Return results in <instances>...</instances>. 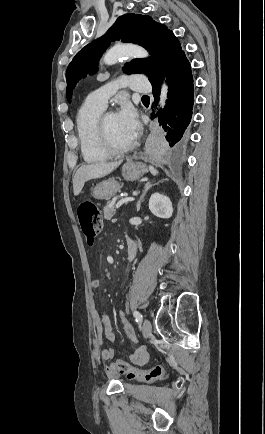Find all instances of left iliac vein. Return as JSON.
Returning <instances> with one entry per match:
<instances>
[{"label":"left iliac vein","instance_id":"1","mask_svg":"<svg viewBox=\"0 0 265 434\" xmlns=\"http://www.w3.org/2000/svg\"><path fill=\"white\" fill-rule=\"evenodd\" d=\"M151 331H152V325L150 323V321L148 319L144 320L143 323V336L144 339H148L149 336L151 335Z\"/></svg>","mask_w":265,"mask_h":434}]
</instances>
